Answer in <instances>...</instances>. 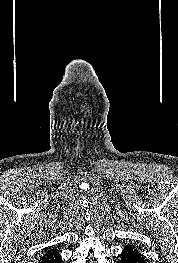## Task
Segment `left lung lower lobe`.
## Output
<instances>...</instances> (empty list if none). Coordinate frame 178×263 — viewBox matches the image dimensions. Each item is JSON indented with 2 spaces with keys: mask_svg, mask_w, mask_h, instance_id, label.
Listing matches in <instances>:
<instances>
[{
  "mask_svg": "<svg viewBox=\"0 0 178 263\" xmlns=\"http://www.w3.org/2000/svg\"><path fill=\"white\" fill-rule=\"evenodd\" d=\"M117 263H145V260L133 246H126Z\"/></svg>",
  "mask_w": 178,
  "mask_h": 263,
  "instance_id": "obj_1",
  "label": "left lung lower lobe"
}]
</instances>
